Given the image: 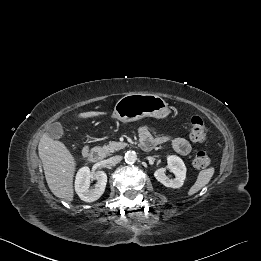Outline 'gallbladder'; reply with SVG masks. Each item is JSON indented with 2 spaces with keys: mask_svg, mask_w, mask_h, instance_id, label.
Here are the masks:
<instances>
[{
  "mask_svg": "<svg viewBox=\"0 0 261 261\" xmlns=\"http://www.w3.org/2000/svg\"><path fill=\"white\" fill-rule=\"evenodd\" d=\"M46 132L53 139H60L64 135L63 126L58 122L50 125Z\"/></svg>",
  "mask_w": 261,
  "mask_h": 261,
  "instance_id": "obj_1",
  "label": "gallbladder"
}]
</instances>
